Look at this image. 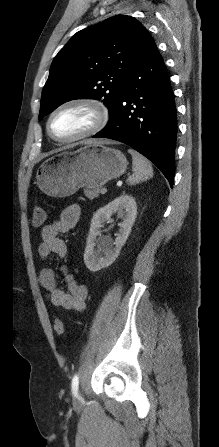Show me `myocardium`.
Wrapping results in <instances>:
<instances>
[{
    "mask_svg": "<svg viewBox=\"0 0 219 447\" xmlns=\"http://www.w3.org/2000/svg\"><path fill=\"white\" fill-rule=\"evenodd\" d=\"M75 107H82L91 112V114L94 117V121L92 125L86 129L84 132L73 136L69 138H61L56 136L51 128V123L53 118L61 111L68 109V108H75ZM110 119V113L107 108V106L96 99L93 98H86V97H77L72 98L69 100H66L59 104L49 115L46 123V129L49 134V136L60 143H72L77 142L86 138H89L91 136H94L98 134L100 131H102L108 124Z\"/></svg>",
    "mask_w": 219,
    "mask_h": 447,
    "instance_id": "obj_1",
    "label": "myocardium"
}]
</instances>
